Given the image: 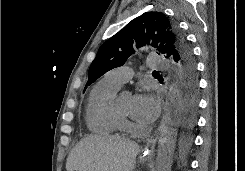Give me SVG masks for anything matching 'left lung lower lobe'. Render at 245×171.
<instances>
[{"label": "left lung lower lobe", "mask_w": 245, "mask_h": 171, "mask_svg": "<svg viewBox=\"0 0 245 171\" xmlns=\"http://www.w3.org/2000/svg\"><path fill=\"white\" fill-rule=\"evenodd\" d=\"M196 61H175L174 77L181 91V111L184 132L178 138L180 153L184 156L192 144L189 129L195 121L197 108L198 83L196 77Z\"/></svg>", "instance_id": "obj_1"}]
</instances>
